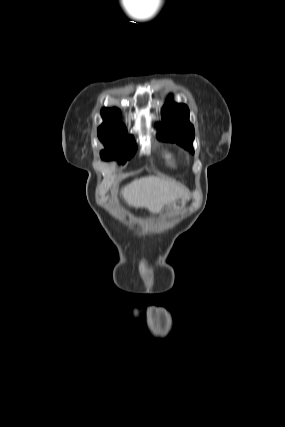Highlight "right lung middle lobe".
<instances>
[{"instance_id": "1", "label": "right lung middle lobe", "mask_w": 285, "mask_h": 427, "mask_svg": "<svg viewBox=\"0 0 285 427\" xmlns=\"http://www.w3.org/2000/svg\"><path fill=\"white\" fill-rule=\"evenodd\" d=\"M98 136L106 147L101 151L103 160L117 159L119 163L124 164L137 149L134 138L126 136V130L98 132Z\"/></svg>"}]
</instances>
